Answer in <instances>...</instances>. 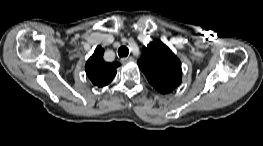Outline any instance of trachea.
I'll return each instance as SVG.
<instances>
[{
  "instance_id": "trachea-1",
  "label": "trachea",
  "mask_w": 263,
  "mask_h": 146,
  "mask_svg": "<svg viewBox=\"0 0 263 146\" xmlns=\"http://www.w3.org/2000/svg\"><path fill=\"white\" fill-rule=\"evenodd\" d=\"M129 54V49L126 46L120 47L118 49V55L120 57H127Z\"/></svg>"
}]
</instances>
